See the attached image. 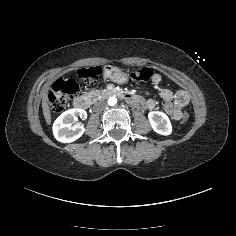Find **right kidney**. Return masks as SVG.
<instances>
[{
    "mask_svg": "<svg viewBox=\"0 0 236 236\" xmlns=\"http://www.w3.org/2000/svg\"><path fill=\"white\" fill-rule=\"evenodd\" d=\"M78 116L85 120L87 112L84 109L73 108L63 112L55 120L52 129L56 140L62 143H70L82 136L85 128L76 123Z\"/></svg>",
    "mask_w": 236,
    "mask_h": 236,
    "instance_id": "obj_1",
    "label": "right kidney"
}]
</instances>
